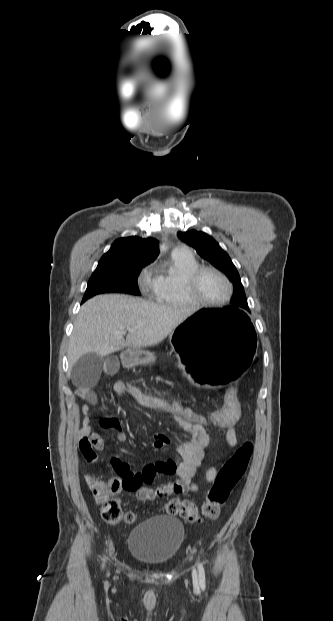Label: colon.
Listing matches in <instances>:
<instances>
[{"label":"colon","instance_id":"colon-1","mask_svg":"<svg viewBox=\"0 0 333 621\" xmlns=\"http://www.w3.org/2000/svg\"><path fill=\"white\" fill-rule=\"evenodd\" d=\"M115 384L123 391V395H128L138 406L168 416L178 423L226 428L235 424L240 416L238 388L235 384L227 388L222 405L210 411L188 406L166 395L147 392L127 380H119ZM252 453L253 445L247 441L223 464L202 504L203 517L211 520L219 517L231 492L244 476ZM115 470L116 477L104 480L97 475L88 474L86 482L96 503L101 506V517L104 521L110 524L132 523L136 519L135 514H124L119 500L114 496L120 490L133 491L137 486V479L126 468ZM163 510L169 515H178L189 523L197 524L202 520L197 506L189 500L171 499L164 505Z\"/></svg>","mask_w":333,"mask_h":621}]
</instances>
